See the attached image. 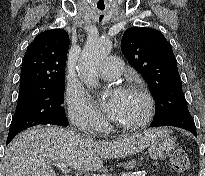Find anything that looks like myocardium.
<instances>
[{"instance_id": "1", "label": "myocardium", "mask_w": 205, "mask_h": 176, "mask_svg": "<svg viewBox=\"0 0 205 176\" xmlns=\"http://www.w3.org/2000/svg\"><path fill=\"white\" fill-rule=\"evenodd\" d=\"M133 92L140 95L146 103V113L144 117L134 124H124L121 122L115 121V124L118 128L125 131H135L144 128L150 123L155 112V103L151 93L142 86H137L133 89Z\"/></svg>"}]
</instances>
